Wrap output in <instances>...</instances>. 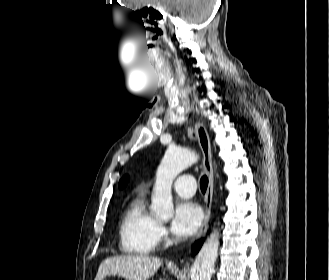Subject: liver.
Wrapping results in <instances>:
<instances>
[{"label":"liver","instance_id":"6515ba94","mask_svg":"<svg viewBox=\"0 0 329 280\" xmlns=\"http://www.w3.org/2000/svg\"><path fill=\"white\" fill-rule=\"evenodd\" d=\"M162 264L161 259L147 255H121L103 260L94 280L119 276L126 280H148Z\"/></svg>","mask_w":329,"mask_h":280}]
</instances>
